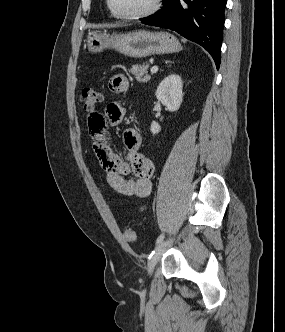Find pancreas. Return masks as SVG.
<instances>
[{
    "instance_id": "1",
    "label": "pancreas",
    "mask_w": 285,
    "mask_h": 332,
    "mask_svg": "<svg viewBox=\"0 0 285 332\" xmlns=\"http://www.w3.org/2000/svg\"><path fill=\"white\" fill-rule=\"evenodd\" d=\"M149 64H143V65H134L130 72L135 76L137 81L146 83L150 80V75H148L147 70H148Z\"/></svg>"
}]
</instances>
